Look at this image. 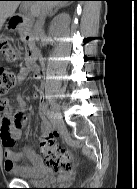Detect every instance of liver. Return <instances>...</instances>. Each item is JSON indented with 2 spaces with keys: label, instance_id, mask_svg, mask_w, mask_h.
Masks as SVG:
<instances>
[{
  "label": "liver",
  "instance_id": "liver-1",
  "mask_svg": "<svg viewBox=\"0 0 137 189\" xmlns=\"http://www.w3.org/2000/svg\"><path fill=\"white\" fill-rule=\"evenodd\" d=\"M19 1H0V30L8 17H11L17 7ZM31 4V12L33 15L38 16L44 10L51 11L55 6L65 4L62 1H33Z\"/></svg>",
  "mask_w": 137,
  "mask_h": 189
}]
</instances>
